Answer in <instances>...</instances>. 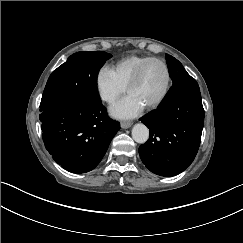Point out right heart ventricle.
Listing matches in <instances>:
<instances>
[{
    "mask_svg": "<svg viewBox=\"0 0 243 243\" xmlns=\"http://www.w3.org/2000/svg\"><path fill=\"white\" fill-rule=\"evenodd\" d=\"M151 57L152 56L143 54H130L113 63L111 68L113 69L118 82L125 87L138 66Z\"/></svg>",
    "mask_w": 243,
    "mask_h": 243,
    "instance_id": "1",
    "label": "right heart ventricle"
}]
</instances>
